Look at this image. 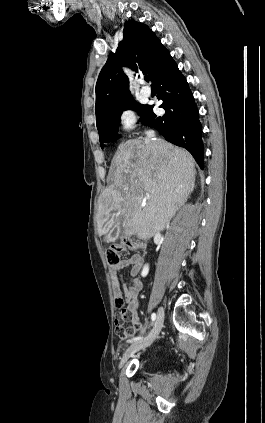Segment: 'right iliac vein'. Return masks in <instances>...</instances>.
<instances>
[{"mask_svg":"<svg viewBox=\"0 0 265 423\" xmlns=\"http://www.w3.org/2000/svg\"><path fill=\"white\" fill-rule=\"evenodd\" d=\"M163 322H164V310L163 308H159L157 313V319L155 321V324L151 333L145 339L134 342L126 349L120 361L119 368H122L123 365L127 362V360L130 357H132L136 352L150 346L155 341V339L158 337L162 329Z\"/></svg>","mask_w":265,"mask_h":423,"instance_id":"obj_1","label":"right iliac vein"}]
</instances>
